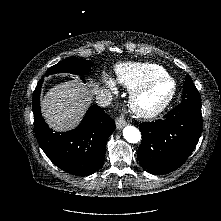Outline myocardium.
<instances>
[{
  "label": "myocardium",
  "mask_w": 221,
  "mask_h": 221,
  "mask_svg": "<svg viewBox=\"0 0 221 221\" xmlns=\"http://www.w3.org/2000/svg\"><path fill=\"white\" fill-rule=\"evenodd\" d=\"M165 83L168 84L169 90L167 95L159 101L156 105L146 108L141 105L140 99L149 91H151L158 84ZM176 93V84L174 80L168 76L163 75L156 78L151 79L150 81L144 83L143 85L134 89L129 98V105L134 114H136L140 118L150 119L158 116L162 113L168 105L172 102Z\"/></svg>",
  "instance_id": "f54148a6"
}]
</instances>
